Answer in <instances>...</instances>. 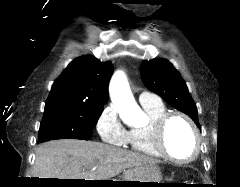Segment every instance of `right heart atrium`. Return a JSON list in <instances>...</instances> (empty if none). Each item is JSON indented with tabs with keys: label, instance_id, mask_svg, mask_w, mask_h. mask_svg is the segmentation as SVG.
I'll return each instance as SVG.
<instances>
[{
	"label": "right heart atrium",
	"instance_id": "d8ad5b80",
	"mask_svg": "<svg viewBox=\"0 0 240 187\" xmlns=\"http://www.w3.org/2000/svg\"><path fill=\"white\" fill-rule=\"evenodd\" d=\"M95 128L102 142L114 146H125L127 144L128 132L112 105L106 106L101 111L96 120Z\"/></svg>",
	"mask_w": 240,
	"mask_h": 187
}]
</instances>
